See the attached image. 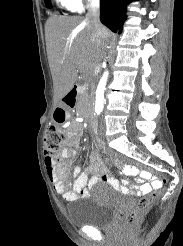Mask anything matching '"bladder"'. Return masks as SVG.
<instances>
[{"label":"bladder","instance_id":"obj_1","mask_svg":"<svg viewBox=\"0 0 183 246\" xmlns=\"http://www.w3.org/2000/svg\"><path fill=\"white\" fill-rule=\"evenodd\" d=\"M87 200L67 211L69 221L77 227H107L116 212L118 206L117 197L112 188L105 184L95 187L92 195Z\"/></svg>","mask_w":183,"mask_h":246}]
</instances>
